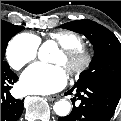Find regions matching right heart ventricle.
I'll use <instances>...</instances> for the list:
<instances>
[{"label": "right heart ventricle", "mask_w": 121, "mask_h": 121, "mask_svg": "<svg viewBox=\"0 0 121 121\" xmlns=\"http://www.w3.org/2000/svg\"><path fill=\"white\" fill-rule=\"evenodd\" d=\"M34 37L39 40L37 36ZM49 37L65 48L82 47L83 45L81 39L72 33L53 32L49 34Z\"/></svg>", "instance_id": "obj_1"}]
</instances>
